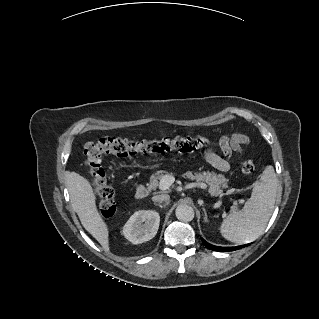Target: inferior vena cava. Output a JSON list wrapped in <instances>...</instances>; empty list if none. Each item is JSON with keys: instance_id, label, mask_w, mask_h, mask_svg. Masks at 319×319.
I'll return each mask as SVG.
<instances>
[{"instance_id": "1", "label": "inferior vena cava", "mask_w": 319, "mask_h": 319, "mask_svg": "<svg viewBox=\"0 0 319 319\" xmlns=\"http://www.w3.org/2000/svg\"><path fill=\"white\" fill-rule=\"evenodd\" d=\"M169 199H170V196L167 194H161V195H156L152 197V200L158 203L168 202Z\"/></svg>"}]
</instances>
